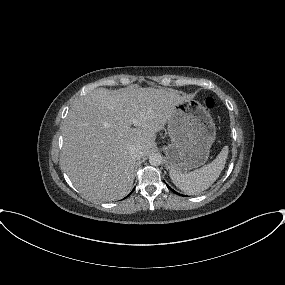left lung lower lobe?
Returning a JSON list of instances; mask_svg holds the SVG:
<instances>
[{
  "mask_svg": "<svg viewBox=\"0 0 285 285\" xmlns=\"http://www.w3.org/2000/svg\"><path fill=\"white\" fill-rule=\"evenodd\" d=\"M167 187H168L170 190H172L174 193L178 194V193H177V192H175L173 189H171L168 185H167Z\"/></svg>",
  "mask_w": 285,
  "mask_h": 285,
  "instance_id": "0a47b994",
  "label": "left lung lower lobe"
}]
</instances>
